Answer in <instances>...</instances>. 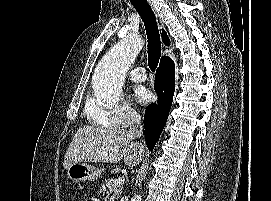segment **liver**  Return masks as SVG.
I'll return each mask as SVG.
<instances>
[{"mask_svg": "<svg viewBox=\"0 0 271 201\" xmlns=\"http://www.w3.org/2000/svg\"><path fill=\"white\" fill-rule=\"evenodd\" d=\"M132 140L124 129L84 126L74 135L63 166L67 169L78 162L117 163L124 158L125 165L134 167L141 162L144 148Z\"/></svg>", "mask_w": 271, "mask_h": 201, "instance_id": "obj_1", "label": "liver"}]
</instances>
